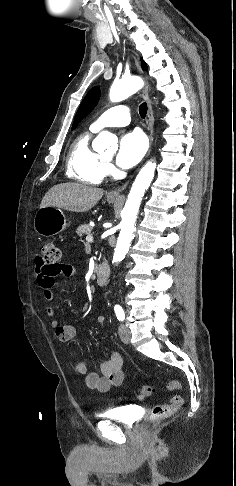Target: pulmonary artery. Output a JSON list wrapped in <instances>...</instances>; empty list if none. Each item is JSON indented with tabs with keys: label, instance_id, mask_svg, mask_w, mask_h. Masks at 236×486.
Listing matches in <instances>:
<instances>
[{
	"label": "pulmonary artery",
	"instance_id": "1",
	"mask_svg": "<svg viewBox=\"0 0 236 486\" xmlns=\"http://www.w3.org/2000/svg\"><path fill=\"white\" fill-rule=\"evenodd\" d=\"M130 110L127 106L117 105L104 111L90 126L97 132L105 127H123L130 123Z\"/></svg>",
	"mask_w": 236,
	"mask_h": 486
}]
</instances>
